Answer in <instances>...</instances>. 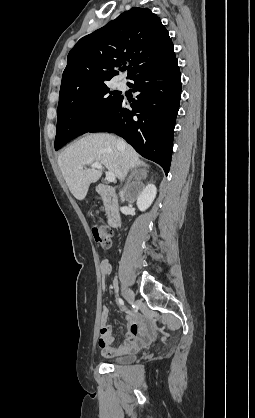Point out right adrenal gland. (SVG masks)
<instances>
[{
	"label": "right adrenal gland",
	"instance_id": "1",
	"mask_svg": "<svg viewBox=\"0 0 255 418\" xmlns=\"http://www.w3.org/2000/svg\"><path fill=\"white\" fill-rule=\"evenodd\" d=\"M139 174H141V175H142V178H143V179H145V178L147 177V171H146L145 169H138V168H135V169H134V171H133V173L131 174V176H130V178H129L128 182H129V181H130L133 177L137 178V176H138Z\"/></svg>",
	"mask_w": 255,
	"mask_h": 418
}]
</instances>
